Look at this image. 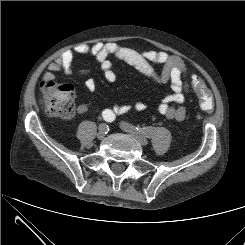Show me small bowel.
Masks as SVG:
<instances>
[{
    "label": "small bowel",
    "mask_w": 245,
    "mask_h": 245,
    "mask_svg": "<svg viewBox=\"0 0 245 245\" xmlns=\"http://www.w3.org/2000/svg\"><path fill=\"white\" fill-rule=\"evenodd\" d=\"M74 53L94 54L105 80L109 83H114L117 80L113 63L110 60L111 57L132 66L142 75L156 83H170L171 93L157 106V112L170 120L182 121L185 119L186 108L183 103L190 88L187 81L186 64L179 56L153 50L139 52L116 43L96 42L91 45L81 44L76 46L74 51L67 50L49 63L47 71L43 75L44 81H55L54 72L57 71H62L66 75L76 74L81 77H87L88 71L86 69H76L73 66ZM155 64L162 65V69L157 71L154 67ZM85 87L88 91L93 92L96 88V83L93 79L87 78ZM146 108L147 106L143 101H135L133 103L115 104L104 111L114 120L117 115L126 114L131 110L142 112ZM87 109V105L80 104L77 106L76 111L78 114H83Z\"/></svg>",
    "instance_id": "obj_1"
}]
</instances>
